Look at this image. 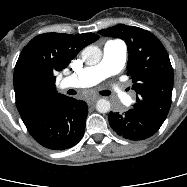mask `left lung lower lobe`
<instances>
[{"label":"left lung lower lobe","instance_id":"obj_1","mask_svg":"<svg viewBox=\"0 0 187 187\" xmlns=\"http://www.w3.org/2000/svg\"><path fill=\"white\" fill-rule=\"evenodd\" d=\"M108 119L111 128L129 140L146 139L155 134L163 123L134 109L125 113L110 112Z\"/></svg>","mask_w":187,"mask_h":187}]
</instances>
